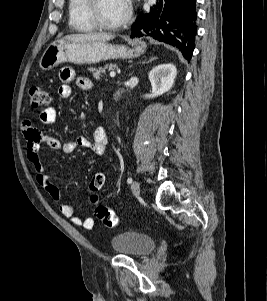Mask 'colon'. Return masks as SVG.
<instances>
[{"mask_svg": "<svg viewBox=\"0 0 267 301\" xmlns=\"http://www.w3.org/2000/svg\"><path fill=\"white\" fill-rule=\"evenodd\" d=\"M29 95L31 106L34 109L43 107L50 102L49 93L40 85L31 86L29 89ZM104 179L105 177L103 173H97L90 182V189L93 192L91 201L93 203L97 202V196L95 193L103 185ZM95 214L97 218L108 228H113L118 224V217L116 213L104 205H97L95 208Z\"/></svg>", "mask_w": 267, "mask_h": 301, "instance_id": "5ec220e1", "label": "colon"}]
</instances>
